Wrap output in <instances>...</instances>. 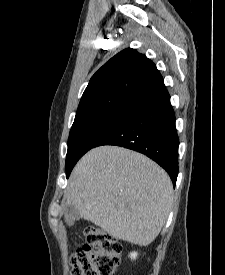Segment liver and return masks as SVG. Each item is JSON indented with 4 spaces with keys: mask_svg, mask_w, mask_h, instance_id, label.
<instances>
[{
    "mask_svg": "<svg viewBox=\"0 0 225 275\" xmlns=\"http://www.w3.org/2000/svg\"><path fill=\"white\" fill-rule=\"evenodd\" d=\"M172 201L168 174L143 154L117 146L87 152L74 167L66 194V205H74L81 218L139 246L158 236Z\"/></svg>",
    "mask_w": 225,
    "mask_h": 275,
    "instance_id": "obj_1",
    "label": "liver"
}]
</instances>
